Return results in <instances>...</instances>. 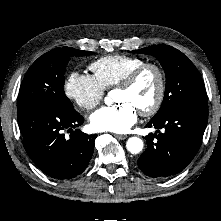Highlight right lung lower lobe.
<instances>
[{
	"mask_svg": "<svg viewBox=\"0 0 221 221\" xmlns=\"http://www.w3.org/2000/svg\"><path fill=\"white\" fill-rule=\"evenodd\" d=\"M23 145L32 161L48 176L71 179L87 167L97 137L72 128L82 125L78 112H65L45 103L17 108ZM65 131L71 133L65 136Z\"/></svg>",
	"mask_w": 221,
	"mask_h": 221,
	"instance_id": "right-lung-lower-lobe-1",
	"label": "right lung lower lobe"
}]
</instances>
